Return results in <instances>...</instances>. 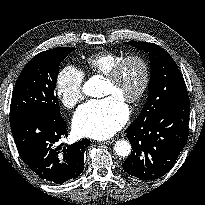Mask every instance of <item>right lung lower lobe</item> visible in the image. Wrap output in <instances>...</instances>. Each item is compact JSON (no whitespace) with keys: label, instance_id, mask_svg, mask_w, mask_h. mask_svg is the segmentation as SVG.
<instances>
[{"label":"right lung lower lobe","instance_id":"98d812e1","mask_svg":"<svg viewBox=\"0 0 205 205\" xmlns=\"http://www.w3.org/2000/svg\"><path fill=\"white\" fill-rule=\"evenodd\" d=\"M10 126L21 158L41 179L62 184L82 173L84 152L90 141L83 139L66 147L59 144V140L68 135L63 119L14 114L10 115Z\"/></svg>","mask_w":205,"mask_h":205}]
</instances>
